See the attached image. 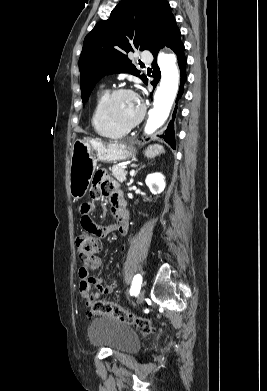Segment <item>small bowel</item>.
<instances>
[{"label":"small bowel","mask_w":267,"mask_h":391,"mask_svg":"<svg viewBox=\"0 0 267 391\" xmlns=\"http://www.w3.org/2000/svg\"><path fill=\"white\" fill-rule=\"evenodd\" d=\"M90 197L93 200L107 198L112 205L115 222L109 226L96 224L91 218L94 203L92 201L84 202L80 205L79 212L81 217L80 223L86 234L103 238L110 232L117 230L122 235H126L128 232L126 204L117 183L105 170L99 169L93 175ZM101 263V259L95 256L88 265H84L79 269V294L86 305H90L94 298L112 293L117 287L116 280L106 283L102 278L91 275V272L97 270Z\"/></svg>","instance_id":"c3829d8e"}]
</instances>
